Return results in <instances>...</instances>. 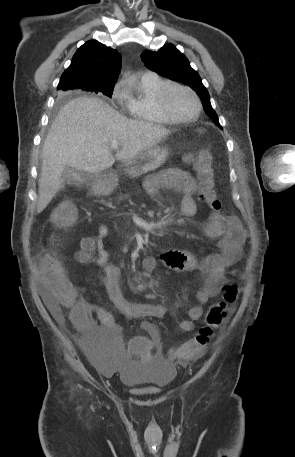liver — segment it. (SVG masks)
Here are the masks:
<instances>
[{"instance_id":"6515ba94","label":"liver","mask_w":295,"mask_h":457,"mask_svg":"<svg viewBox=\"0 0 295 457\" xmlns=\"http://www.w3.org/2000/svg\"><path fill=\"white\" fill-rule=\"evenodd\" d=\"M169 134L160 125L122 116L100 99L70 100L59 111L43 145L37 212L41 213L63 186L66 167L98 173L115 160L132 159ZM113 141L121 146L115 157L110 150Z\"/></svg>"}]
</instances>
